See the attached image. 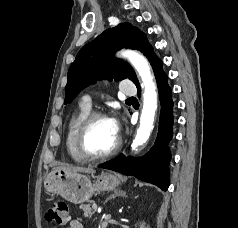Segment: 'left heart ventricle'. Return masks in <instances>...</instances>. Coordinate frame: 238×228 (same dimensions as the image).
<instances>
[{
	"mask_svg": "<svg viewBox=\"0 0 238 228\" xmlns=\"http://www.w3.org/2000/svg\"><path fill=\"white\" fill-rule=\"evenodd\" d=\"M117 139L118 136L114 133L110 120L98 119L89 130L86 148L93 154H102L109 151L116 144Z\"/></svg>",
	"mask_w": 238,
	"mask_h": 228,
	"instance_id": "left-heart-ventricle-1",
	"label": "left heart ventricle"
}]
</instances>
